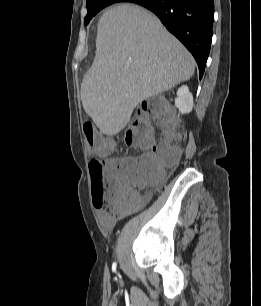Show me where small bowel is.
I'll return each instance as SVG.
<instances>
[{"instance_id":"obj_1","label":"small bowel","mask_w":261,"mask_h":306,"mask_svg":"<svg viewBox=\"0 0 261 306\" xmlns=\"http://www.w3.org/2000/svg\"><path fill=\"white\" fill-rule=\"evenodd\" d=\"M115 160L119 159H107L106 162L107 164H112ZM150 196L151 191L146 192V194L139 199L138 204L140 205L145 203L150 198ZM97 217L104 229L111 230L115 226L116 222L121 219V214L100 210L97 213Z\"/></svg>"}]
</instances>
